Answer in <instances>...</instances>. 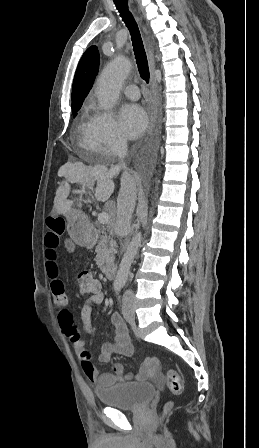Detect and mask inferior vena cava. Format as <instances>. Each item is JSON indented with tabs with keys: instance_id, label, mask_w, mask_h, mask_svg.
Returning <instances> with one entry per match:
<instances>
[{
	"instance_id": "602c4592",
	"label": "inferior vena cava",
	"mask_w": 259,
	"mask_h": 448,
	"mask_svg": "<svg viewBox=\"0 0 259 448\" xmlns=\"http://www.w3.org/2000/svg\"><path fill=\"white\" fill-rule=\"evenodd\" d=\"M128 150V144L126 140H118L116 144V152L119 158H125ZM120 170H125L122 174V188L117 198V216L115 230L118 236H127L130 232L132 214L136 206L137 200V188L135 178L126 172V166L124 162L117 164L112 168L113 174H117ZM133 294L131 290H127L123 296V306H131L133 302Z\"/></svg>"
}]
</instances>
